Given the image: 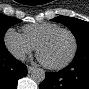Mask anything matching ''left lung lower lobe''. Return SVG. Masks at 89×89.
Masks as SVG:
<instances>
[{
    "instance_id": "left-lung-lower-lobe-1",
    "label": "left lung lower lobe",
    "mask_w": 89,
    "mask_h": 89,
    "mask_svg": "<svg viewBox=\"0 0 89 89\" xmlns=\"http://www.w3.org/2000/svg\"><path fill=\"white\" fill-rule=\"evenodd\" d=\"M40 89H89V50L77 53L63 70L46 73Z\"/></svg>"
}]
</instances>
